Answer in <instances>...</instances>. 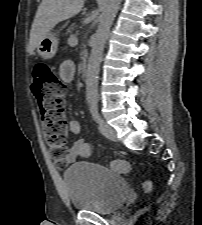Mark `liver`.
Masks as SVG:
<instances>
[{
    "mask_svg": "<svg viewBox=\"0 0 202 225\" xmlns=\"http://www.w3.org/2000/svg\"><path fill=\"white\" fill-rule=\"evenodd\" d=\"M85 0H42L30 31L28 52L33 53L41 39L59 22L77 15Z\"/></svg>",
    "mask_w": 202,
    "mask_h": 225,
    "instance_id": "obj_1",
    "label": "liver"
}]
</instances>
